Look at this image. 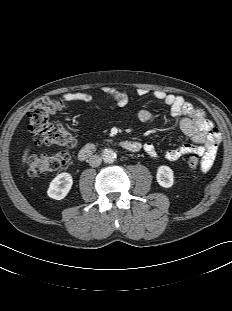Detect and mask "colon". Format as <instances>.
<instances>
[{
  "mask_svg": "<svg viewBox=\"0 0 232 311\" xmlns=\"http://www.w3.org/2000/svg\"><path fill=\"white\" fill-rule=\"evenodd\" d=\"M63 107L64 101L55 97L47 96L35 102L29 112V131L35 145H57L69 148L74 144V137L66 127L49 120L53 113ZM68 160L69 154L66 150L51 155L31 156L28 162V174L36 177L55 172L66 165ZM187 166L191 170L197 169L199 166L198 156H190Z\"/></svg>",
  "mask_w": 232,
  "mask_h": 311,
  "instance_id": "colon-1",
  "label": "colon"
}]
</instances>
